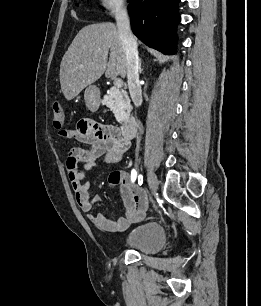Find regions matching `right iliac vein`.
Listing matches in <instances>:
<instances>
[{
  "mask_svg": "<svg viewBox=\"0 0 261 306\" xmlns=\"http://www.w3.org/2000/svg\"><path fill=\"white\" fill-rule=\"evenodd\" d=\"M147 180H148L150 189L153 192H155L158 188V180H157L156 175L151 170L148 171Z\"/></svg>",
  "mask_w": 261,
  "mask_h": 306,
  "instance_id": "1",
  "label": "right iliac vein"
}]
</instances>
